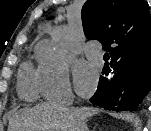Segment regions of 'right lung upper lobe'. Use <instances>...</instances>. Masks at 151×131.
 I'll use <instances>...</instances> for the list:
<instances>
[{"label":"right lung upper lobe","instance_id":"obj_1","mask_svg":"<svg viewBox=\"0 0 151 131\" xmlns=\"http://www.w3.org/2000/svg\"><path fill=\"white\" fill-rule=\"evenodd\" d=\"M81 15L86 37L108 48L111 65L151 62V14L145 0H87Z\"/></svg>","mask_w":151,"mask_h":131}]
</instances>
